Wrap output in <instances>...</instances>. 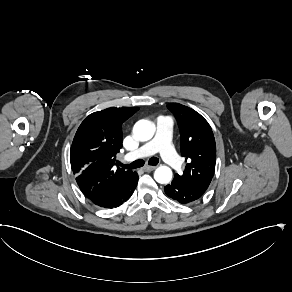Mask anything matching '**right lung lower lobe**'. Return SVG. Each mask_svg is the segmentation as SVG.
<instances>
[{
    "mask_svg": "<svg viewBox=\"0 0 292 292\" xmlns=\"http://www.w3.org/2000/svg\"><path fill=\"white\" fill-rule=\"evenodd\" d=\"M138 183V174L135 173L133 177H131L121 188L118 190L113 196H111L109 199L101 202V203H94L98 205L99 207L104 208H114L118 207L124 202H126L131 195L133 194L136 186Z\"/></svg>",
    "mask_w": 292,
    "mask_h": 292,
    "instance_id": "98d812e1",
    "label": "right lung lower lobe"
}]
</instances>
